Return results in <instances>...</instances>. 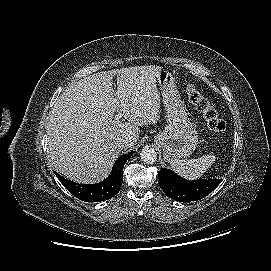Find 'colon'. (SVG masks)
Listing matches in <instances>:
<instances>
[{
  "label": "colon",
  "mask_w": 271,
  "mask_h": 271,
  "mask_svg": "<svg viewBox=\"0 0 271 271\" xmlns=\"http://www.w3.org/2000/svg\"><path fill=\"white\" fill-rule=\"evenodd\" d=\"M187 93L189 100L203 114L209 130L214 133H222L226 128L225 122L219 117L210 101L193 84L187 86Z\"/></svg>",
  "instance_id": "1"
}]
</instances>
